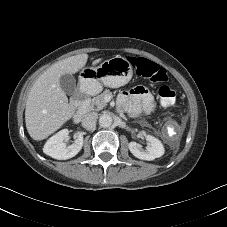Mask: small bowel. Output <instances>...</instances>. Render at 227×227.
Instances as JSON below:
<instances>
[{
    "label": "small bowel",
    "instance_id": "small-bowel-1",
    "mask_svg": "<svg viewBox=\"0 0 227 227\" xmlns=\"http://www.w3.org/2000/svg\"><path fill=\"white\" fill-rule=\"evenodd\" d=\"M118 104L133 117H138L142 113H151L155 109L152 96L142 86L121 92L118 96Z\"/></svg>",
    "mask_w": 227,
    "mask_h": 227
}]
</instances>
